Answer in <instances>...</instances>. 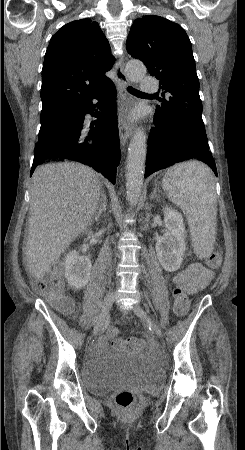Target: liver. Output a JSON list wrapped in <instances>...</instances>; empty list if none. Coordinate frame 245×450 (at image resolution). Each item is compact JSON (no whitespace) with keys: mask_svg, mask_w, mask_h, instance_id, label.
Returning a JSON list of instances; mask_svg holds the SVG:
<instances>
[{"mask_svg":"<svg viewBox=\"0 0 245 450\" xmlns=\"http://www.w3.org/2000/svg\"><path fill=\"white\" fill-rule=\"evenodd\" d=\"M102 184L94 171L80 163L38 167L32 177L27 268L41 280L97 213Z\"/></svg>","mask_w":245,"mask_h":450,"instance_id":"6515ba94","label":"liver"}]
</instances>
